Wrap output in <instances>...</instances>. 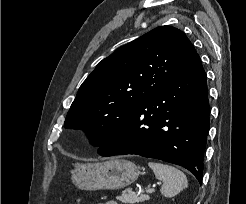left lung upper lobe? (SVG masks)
Here are the masks:
<instances>
[{
	"instance_id": "left-lung-upper-lobe-1",
	"label": "left lung upper lobe",
	"mask_w": 246,
	"mask_h": 204,
	"mask_svg": "<svg viewBox=\"0 0 246 204\" xmlns=\"http://www.w3.org/2000/svg\"><path fill=\"white\" fill-rule=\"evenodd\" d=\"M196 50L186 35L160 26L118 48L82 83L65 119L100 146L142 101L185 66Z\"/></svg>"
}]
</instances>
